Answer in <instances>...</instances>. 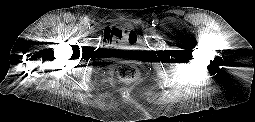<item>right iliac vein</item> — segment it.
<instances>
[{"label": "right iliac vein", "instance_id": "63e3f726", "mask_svg": "<svg viewBox=\"0 0 255 122\" xmlns=\"http://www.w3.org/2000/svg\"><path fill=\"white\" fill-rule=\"evenodd\" d=\"M89 31H90L91 33H93V32H94V28H93V27H90V28H89Z\"/></svg>", "mask_w": 255, "mask_h": 122}]
</instances>
